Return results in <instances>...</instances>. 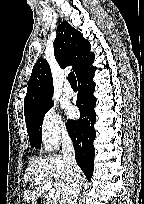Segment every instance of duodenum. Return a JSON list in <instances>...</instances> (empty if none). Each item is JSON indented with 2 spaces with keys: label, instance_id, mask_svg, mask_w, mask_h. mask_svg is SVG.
<instances>
[{
  "label": "duodenum",
  "instance_id": "duodenum-1",
  "mask_svg": "<svg viewBox=\"0 0 144 204\" xmlns=\"http://www.w3.org/2000/svg\"><path fill=\"white\" fill-rule=\"evenodd\" d=\"M36 204H47V203L44 200H42V199H38L36 201Z\"/></svg>",
  "mask_w": 144,
  "mask_h": 204
}]
</instances>
